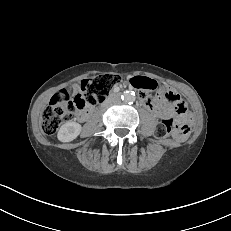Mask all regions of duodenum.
I'll return each mask as SVG.
<instances>
[{
	"label": "duodenum",
	"mask_w": 231,
	"mask_h": 231,
	"mask_svg": "<svg viewBox=\"0 0 231 231\" xmlns=\"http://www.w3.org/2000/svg\"><path fill=\"white\" fill-rule=\"evenodd\" d=\"M144 103H148V100L142 97Z\"/></svg>",
	"instance_id": "duodenum-1"
}]
</instances>
